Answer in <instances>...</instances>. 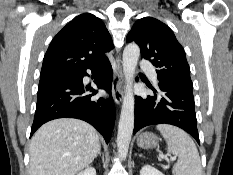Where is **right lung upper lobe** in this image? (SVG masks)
<instances>
[{"label":"right lung upper lobe","mask_w":233,"mask_h":175,"mask_svg":"<svg viewBox=\"0 0 233 175\" xmlns=\"http://www.w3.org/2000/svg\"><path fill=\"white\" fill-rule=\"evenodd\" d=\"M113 48L102 20L84 13L68 23L51 41L44 56L40 79L64 77L95 65Z\"/></svg>","instance_id":"right-lung-upper-lobe-1"}]
</instances>
